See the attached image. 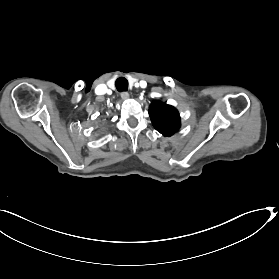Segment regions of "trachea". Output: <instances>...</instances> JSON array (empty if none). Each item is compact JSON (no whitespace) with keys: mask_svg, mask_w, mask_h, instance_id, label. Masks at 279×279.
I'll return each mask as SVG.
<instances>
[{"mask_svg":"<svg viewBox=\"0 0 279 279\" xmlns=\"http://www.w3.org/2000/svg\"><path fill=\"white\" fill-rule=\"evenodd\" d=\"M115 86L119 92L127 91L128 81L125 77H119L115 82Z\"/></svg>","mask_w":279,"mask_h":279,"instance_id":"trachea-1","label":"trachea"}]
</instances>
